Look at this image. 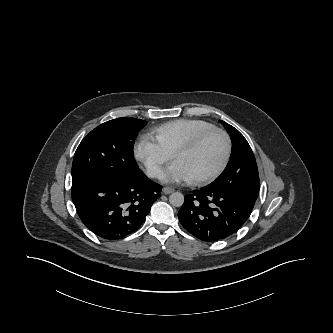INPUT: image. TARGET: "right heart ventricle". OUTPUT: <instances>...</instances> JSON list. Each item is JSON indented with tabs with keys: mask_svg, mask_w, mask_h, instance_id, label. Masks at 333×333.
<instances>
[{
	"mask_svg": "<svg viewBox=\"0 0 333 333\" xmlns=\"http://www.w3.org/2000/svg\"><path fill=\"white\" fill-rule=\"evenodd\" d=\"M212 127H214L212 123L202 119L181 118L154 128L152 134L156 142L172 155L177 148L192 137Z\"/></svg>",
	"mask_w": 333,
	"mask_h": 333,
	"instance_id": "e07e8e85",
	"label": "right heart ventricle"
}]
</instances>
